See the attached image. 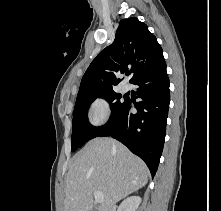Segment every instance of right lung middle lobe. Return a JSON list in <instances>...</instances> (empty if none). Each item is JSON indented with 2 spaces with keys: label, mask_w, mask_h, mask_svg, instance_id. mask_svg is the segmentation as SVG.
I'll list each match as a JSON object with an SVG mask.
<instances>
[{
  "label": "right lung middle lobe",
  "mask_w": 221,
  "mask_h": 211,
  "mask_svg": "<svg viewBox=\"0 0 221 211\" xmlns=\"http://www.w3.org/2000/svg\"><path fill=\"white\" fill-rule=\"evenodd\" d=\"M96 98L106 99L111 106V117L106 125L112 121L125 104V100L123 102L120 101L121 95L114 91L78 97L76 99L72 120V152L76 151L88 140L97 137L101 129L106 126L94 127L88 122L87 110Z\"/></svg>",
  "instance_id": "1"
}]
</instances>
